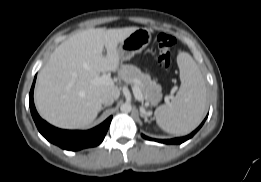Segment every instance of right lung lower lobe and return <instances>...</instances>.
I'll use <instances>...</instances> for the list:
<instances>
[{
	"mask_svg": "<svg viewBox=\"0 0 261 182\" xmlns=\"http://www.w3.org/2000/svg\"><path fill=\"white\" fill-rule=\"evenodd\" d=\"M34 79L30 94H29V106L32 117L39 132L51 143L58 145L59 147L66 150H80L87 147H94L99 145L109 128L112 116L105 120L99 126L88 130V131H71L58 129L46 121H44L37 113L34 101H33V90L35 85Z\"/></svg>",
	"mask_w": 261,
	"mask_h": 182,
	"instance_id": "right-lung-lower-lobe-1",
	"label": "right lung lower lobe"
}]
</instances>
